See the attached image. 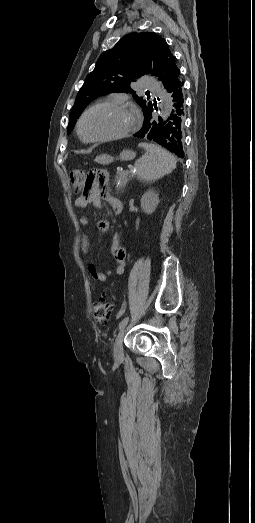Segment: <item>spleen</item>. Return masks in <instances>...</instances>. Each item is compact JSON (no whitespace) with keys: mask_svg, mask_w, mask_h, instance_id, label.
<instances>
[{"mask_svg":"<svg viewBox=\"0 0 255 523\" xmlns=\"http://www.w3.org/2000/svg\"><path fill=\"white\" fill-rule=\"evenodd\" d=\"M140 148L146 150V154L135 162V170L138 178L144 182H155L166 174H171L176 168V158L154 144H139Z\"/></svg>","mask_w":255,"mask_h":523,"instance_id":"3e777b00","label":"spleen"}]
</instances>
